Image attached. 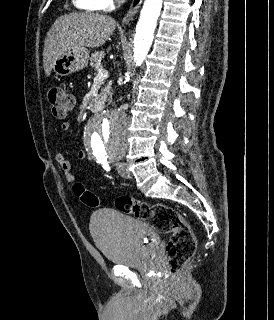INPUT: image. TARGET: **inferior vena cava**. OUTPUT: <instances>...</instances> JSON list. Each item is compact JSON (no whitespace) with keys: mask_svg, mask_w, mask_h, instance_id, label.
<instances>
[{"mask_svg":"<svg viewBox=\"0 0 274 320\" xmlns=\"http://www.w3.org/2000/svg\"><path fill=\"white\" fill-rule=\"evenodd\" d=\"M122 2H125V0H117L118 8L121 6Z\"/></svg>","mask_w":274,"mask_h":320,"instance_id":"inferior-vena-cava-1","label":"inferior vena cava"}]
</instances>
